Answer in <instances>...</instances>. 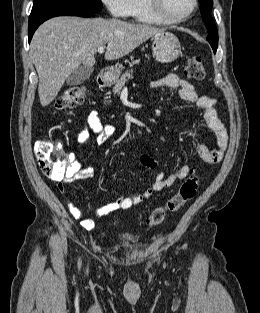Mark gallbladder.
Here are the masks:
<instances>
[{
  "label": "gallbladder",
  "mask_w": 260,
  "mask_h": 313,
  "mask_svg": "<svg viewBox=\"0 0 260 313\" xmlns=\"http://www.w3.org/2000/svg\"><path fill=\"white\" fill-rule=\"evenodd\" d=\"M93 69L88 67H79L73 71L66 80V83L71 86L80 85L89 79Z\"/></svg>",
  "instance_id": "1"
}]
</instances>
